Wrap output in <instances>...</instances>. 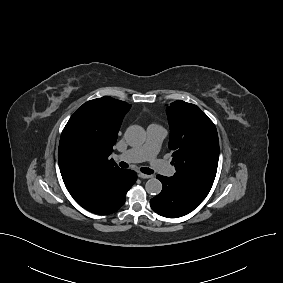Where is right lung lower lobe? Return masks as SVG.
Masks as SVG:
<instances>
[{"label": "right lung lower lobe", "instance_id": "1", "mask_svg": "<svg viewBox=\"0 0 283 283\" xmlns=\"http://www.w3.org/2000/svg\"><path fill=\"white\" fill-rule=\"evenodd\" d=\"M136 180L135 171L120 169L106 174L74 199L90 212L109 214L125 203L126 193Z\"/></svg>", "mask_w": 283, "mask_h": 283}]
</instances>
